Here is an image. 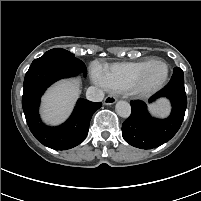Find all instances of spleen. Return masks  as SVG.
Segmentation results:
<instances>
[{"label": "spleen", "instance_id": "spleen-1", "mask_svg": "<svg viewBox=\"0 0 201 201\" xmlns=\"http://www.w3.org/2000/svg\"><path fill=\"white\" fill-rule=\"evenodd\" d=\"M149 110L158 116H167L170 112V105L166 99H160L157 103L149 106Z\"/></svg>", "mask_w": 201, "mask_h": 201}]
</instances>
